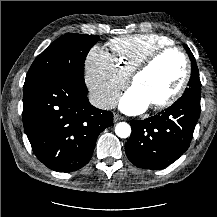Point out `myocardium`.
<instances>
[{
  "label": "myocardium",
  "instance_id": "1",
  "mask_svg": "<svg viewBox=\"0 0 217 217\" xmlns=\"http://www.w3.org/2000/svg\"><path fill=\"white\" fill-rule=\"evenodd\" d=\"M172 52L178 53L183 60L184 63L183 77L181 79L178 88L170 96L166 97L163 100L151 104V107L157 110L172 105L177 100H179L187 90L190 77H191V63L187 53L181 47L175 45H167L161 47L155 50L143 62H141L130 75V85L133 86L136 79L144 72H146L160 57Z\"/></svg>",
  "mask_w": 217,
  "mask_h": 217
}]
</instances>
